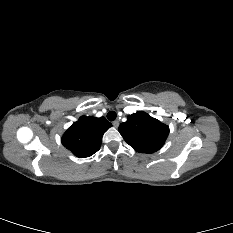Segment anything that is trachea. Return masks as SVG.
<instances>
[{
  "mask_svg": "<svg viewBox=\"0 0 233 233\" xmlns=\"http://www.w3.org/2000/svg\"><path fill=\"white\" fill-rule=\"evenodd\" d=\"M116 117H117V114H116L115 111H110V112H108V114H107V119H108L109 121H114V120L116 119Z\"/></svg>",
  "mask_w": 233,
  "mask_h": 233,
  "instance_id": "1",
  "label": "trachea"
}]
</instances>
